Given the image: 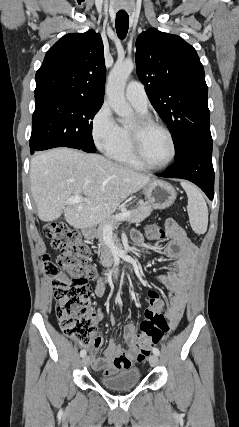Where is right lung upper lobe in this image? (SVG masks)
<instances>
[{
	"mask_svg": "<svg viewBox=\"0 0 239 427\" xmlns=\"http://www.w3.org/2000/svg\"><path fill=\"white\" fill-rule=\"evenodd\" d=\"M104 47L93 30L67 34L46 53L37 71L35 100L72 99L103 103Z\"/></svg>",
	"mask_w": 239,
	"mask_h": 427,
	"instance_id": "obj_1",
	"label": "right lung upper lobe"
}]
</instances>
